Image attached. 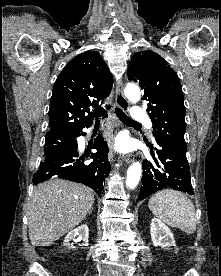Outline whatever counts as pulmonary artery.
<instances>
[{"mask_svg": "<svg viewBox=\"0 0 221 276\" xmlns=\"http://www.w3.org/2000/svg\"><path fill=\"white\" fill-rule=\"evenodd\" d=\"M132 119L136 122L147 121L148 117L146 112L140 107H133L131 111Z\"/></svg>", "mask_w": 221, "mask_h": 276, "instance_id": "pulmonary-artery-1", "label": "pulmonary artery"}]
</instances>
